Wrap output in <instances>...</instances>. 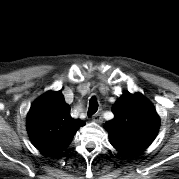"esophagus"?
Returning <instances> with one entry per match:
<instances>
[{
    "mask_svg": "<svg viewBox=\"0 0 179 179\" xmlns=\"http://www.w3.org/2000/svg\"><path fill=\"white\" fill-rule=\"evenodd\" d=\"M102 120H103V118L100 113H96L92 116V121H94V122L101 123Z\"/></svg>",
    "mask_w": 179,
    "mask_h": 179,
    "instance_id": "obj_1",
    "label": "esophagus"
}]
</instances>
